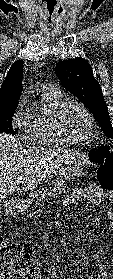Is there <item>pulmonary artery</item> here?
<instances>
[{
	"label": "pulmonary artery",
	"instance_id": "pulmonary-artery-1",
	"mask_svg": "<svg viewBox=\"0 0 113 279\" xmlns=\"http://www.w3.org/2000/svg\"><path fill=\"white\" fill-rule=\"evenodd\" d=\"M44 90L46 91H50L56 94H61L60 88L58 85L54 84V83H50V84H46L43 86Z\"/></svg>",
	"mask_w": 113,
	"mask_h": 279
}]
</instances>
